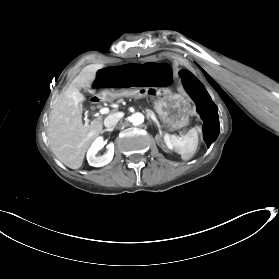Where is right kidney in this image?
Wrapping results in <instances>:
<instances>
[{"mask_svg":"<svg viewBox=\"0 0 279 279\" xmlns=\"http://www.w3.org/2000/svg\"><path fill=\"white\" fill-rule=\"evenodd\" d=\"M106 145V149L108 152L100 157L96 156V153L104 146ZM114 157V143L109 142L108 144L104 143L103 139L101 137L97 138L93 144L91 145L90 149L87 152V160L90 166L93 167H102L109 162L112 161Z\"/></svg>","mask_w":279,"mask_h":279,"instance_id":"1","label":"right kidney"}]
</instances>
